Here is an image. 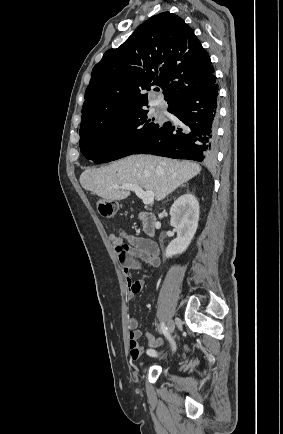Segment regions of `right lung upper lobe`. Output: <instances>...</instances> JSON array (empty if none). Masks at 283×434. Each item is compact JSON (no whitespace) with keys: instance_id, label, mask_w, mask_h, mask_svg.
<instances>
[{"instance_id":"obj_1","label":"right lung upper lobe","mask_w":283,"mask_h":434,"mask_svg":"<svg viewBox=\"0 0 283 434\" xmlns=\"http://www.w3.org/2000/svg\"><path fill=\"white\" fill-rule=\"evenodd\" d=\"M208 52L193 29L170 12L157 14L118 48L107 50L91 73L85 92L80 130L117 114L143 108L151 85L175 101L214 84Z\"/></svg>"}]
</instances>
